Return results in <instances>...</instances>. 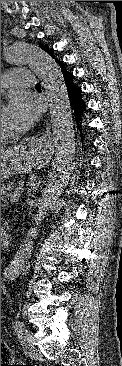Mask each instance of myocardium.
I'll list each match as a JSON object with an SVG mask.
<instances>
[{"label":"myocardium","mask_w":122,"mask_h":366,"mask_svg":"<svg viewBox=\"0 0 122 366\" xmlns=\"http://www.w3.org/2000/svg\"><path fill=\"white\" fill-rule=\"evenodd\" d=\"M14 138L12 134L1 133V143L10 141Z\"/></svg>","instance_id":"obj_1"}]
</instances>
